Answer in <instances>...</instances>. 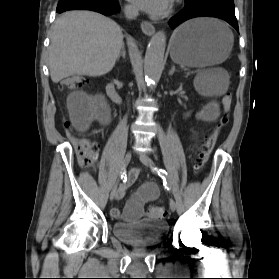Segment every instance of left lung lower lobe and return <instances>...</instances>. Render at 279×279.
<instances>
[{
	"label": "left lung lower lobe",
	"mask_w": 279,
	"mask_h": 279,
	"mask_svg": "<svg viewBox=\"0 0 279 279\" xmlns=\"http://www.w3.org/2000/svg\"><path fill=\"white\" fill-rule=\"evenodd\" d=\"M202 16L223 19L239 32L233 0H185L184 9L174 16L169 24L174 29L188 19Z\"/></svg>",
	"instance_id": "left-lung-lower-lobe-1"
}]
</instances>
